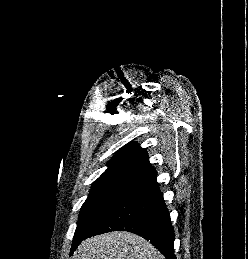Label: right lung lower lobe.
I'll list each match as a JSON object with an SVG mask.
<instances>
[{"label":"right lung lower lobe","mask_w":248,"mask_h":259,"mask_svg":"<svg viewBox=\"0 0 248 259\" xmlns=\"http://www.w3.org/2000/svg\"><path fill=\"white\" fill-rule=\"evenodd\" d=\"M111 231H128L144 237L166 259L174 255V228L166 209L156 174L131 186L95 227L71 248V254L88 237Z\"/></svg>","instance_id":"right-lung-lower-lobe-1"}]
</instances>
